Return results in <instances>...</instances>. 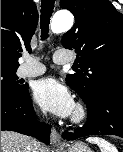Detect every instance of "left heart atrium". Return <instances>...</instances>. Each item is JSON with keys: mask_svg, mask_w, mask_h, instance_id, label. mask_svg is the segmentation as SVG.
I'll list each match as a JSON object with an SVG mask.
<instances>
[{"mask_svg": "<svg viewBox=\"0 0 123 152\" xmlns=\"http://www.w3.org/2000/svg\"><path fill=\"white\" fill-rule=\"evenodd\" d=\"M33 96L38 105L57 116L67 117L74 110V101L70 92L53 78L36 82Z\"/></svg>", "mask_w": 123, "mask_h": 152, "instance_id": "obj_1", "label": "left heart atrium"}]
</instances>
